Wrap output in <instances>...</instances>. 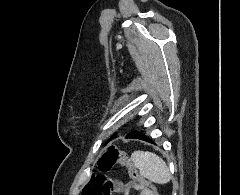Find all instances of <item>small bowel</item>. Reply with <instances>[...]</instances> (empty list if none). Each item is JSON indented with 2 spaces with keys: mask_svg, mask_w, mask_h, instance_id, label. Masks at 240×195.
<instances>
[{
  "mask_svg": "<svg viewBox=\"0 0 240 195\" xmlns=\"http://www.w3.org/2000/svg\"><path fill=\"white\" fill-rule=\"evenodd\" d=\"M140 177V176H139ZM146 188H150V186H137L136 182H132V179L126 183H124V193L123 195H131L133 190L139 192V195H148L146 193Z\"/></svg>",
  "mask_w": 240,
  "mask_h": 195,
  "instance_id": "small-bowel-1",
  "label": "small bowel"
}]
</instances>
